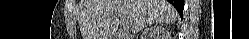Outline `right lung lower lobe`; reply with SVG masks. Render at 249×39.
I'll return each instance as SVG.
<instances>
[{
  "label": "right lung lower lobe",
  "instance_id": "right-lung-lower-lobe-1",
  "mask_svg": "<svg viewBox=\"0 0 249 39\" xmlns=\"http://www.w3.org/2000/svg\"><path fill=\"white\" fill-rule=\"evenodd\" d=\"M178 11L180 16H182V11L184 8V0H168Z\"/></svg>",
  "mask_w": 249,
  "mask_h": 39
}]
</instances>
